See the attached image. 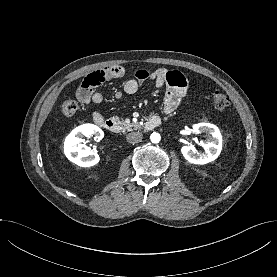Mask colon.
<instances>
[{
  "mask_svg": "<svg viewBox=\"0 0 277 277\" xmlns=\"http://www.w3.org/2000/svg\"><path fill=\"white\" fill-rule=\"evenodd\" d=\"M211 104L216 110L222 111L229 105V99L225 93L216 90L211 95ZM78 110V103L75 100H66L61 105L62 113L67 116H73Z\"/></svg>",
  "mask_w": 277,
  "mask_h": 277,
  "instance_id": "colon-1",
  "label": "colon"
}]
</instances>
